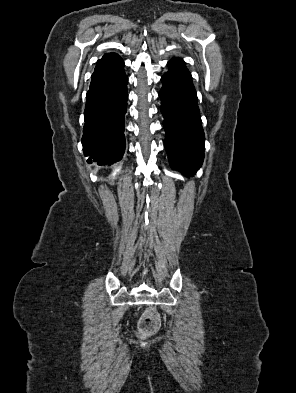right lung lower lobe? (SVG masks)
Wrapping results in <instances>:
<instances>
[{
    "label": "right lung lower lobe",
    "mask_w": 296,
    "mask_h": 393,
    "mask_svg": "<svg viewBox=\"0 0 296 393\" xmlns=\"http://www.w3.org/2000/svg\"><path fill=\"white\" fill-rule=\"evenodd\" d=\"M124 62L115 53L97 61L86 95L82 145L88 162L110 165L125 151L124 115L127 111Z\"/></svg>",
    "instance_id": "98d812e1"
}]
</instances>
